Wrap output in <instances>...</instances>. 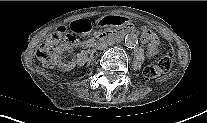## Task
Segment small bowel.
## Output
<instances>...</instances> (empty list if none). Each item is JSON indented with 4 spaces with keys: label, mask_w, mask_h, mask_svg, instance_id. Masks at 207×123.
<instances>
[{
    "label": "small bowel",
    "mask_w": 207,
    "mask_h": 123,
    "mask_svg": "<svg viewBox=\"0 0 207 123\" xmlns=\"http://www.w3.org/2000/svg\"><path fill=\"white\" fill-rule=\"evenodd\" d=\"M129 20L125 15H106L105 17L98 18V25L100 27L111 26H126ZM91 28V21L89 19H80L79 21H73L71 23V31L75 34L83 33ZM142 40L149 44L151 47L157 46V39L155 34L150 29H144L142 31Z\"/></svg>",
    "instance_id": "1"
}]
</instances>
